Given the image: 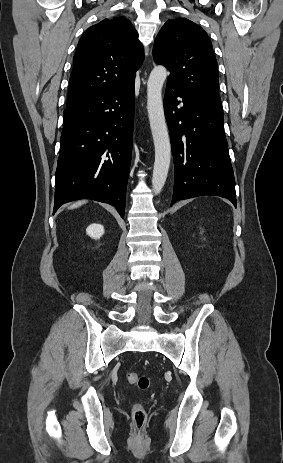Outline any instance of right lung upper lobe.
Segmentation results:
<instances>
[{
  "mask_svg": "<svg viewBox=\"0 0 283 463\" xmlns=\"http://www.w3.org/2000/svg\"><path fill=\"white\" fill-rule=\"evenodd\" d=\"M143 59L138 33L126 17L104 19L89 27L73 58L67 106L134 82Z\"/></svg>",
  "mask_w": 283,
  "mask_h": 463,
  "instance_id": "obj_1",
  "label": "right lung upper lobe"
}]
</instances>
